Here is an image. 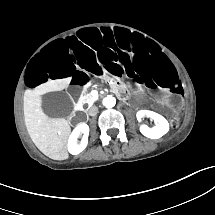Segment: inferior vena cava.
Listing matches in <instances>:
<instances>
[{"label": "inferior vena cava", "instance_id": "inferior-vena-cava-1", "mask_svg": "<svg viewBox=\"0 0 215 215\" xmlns=\"http://www.w3.org/2000/svg\"><path fill=\"white\" fill-rule=\"evenodd\" d=\"M88 113L90 116H95L98 113V107L95 105L89 107Z\"/></svg>", "mask_w": 215, "mask_h": 215}]
</instances>
